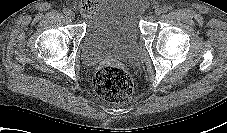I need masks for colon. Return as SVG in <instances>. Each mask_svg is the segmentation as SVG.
<instances>
[{"label": "colon", "instance_id": "1", "mask_svg": "<svg viewBox=\"0 0 227 133\" xmlns=\"http://www.w3.org/2000/svg\"><path fill=\"white\" fill-rule=\"evenodd\" d=\"M99 0H84L82 8L85 11L94 10ZM94 87L102 98L123 103L128 101L133 94V79L123 68L116 65L103 66L95 74Z\"/></svg>", "mask_w": 227, "mask_h": 133}]
</instances>
